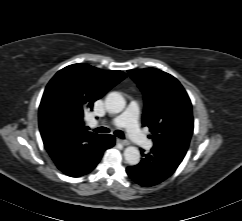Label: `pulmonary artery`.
<instances>
[{
  "label": "pulmonary artery",
  "instance_id": "1",
  "mask_svg": "<svg viewBox=\"0 0 242 221\" xmlns=\"http://www.w3.org/2000/svg\"><path fill=\"white\" fill-rule=\"evenodd\" d=\"M139 105L137 102H130L127 109L120 115L112 118L109 124L115 127H125L130 138L142 148H149L151 141L146 138L139 128Z\"/></svg>",
  "mask_w": 242,
  "mask_h": 221
}]
</instances>
